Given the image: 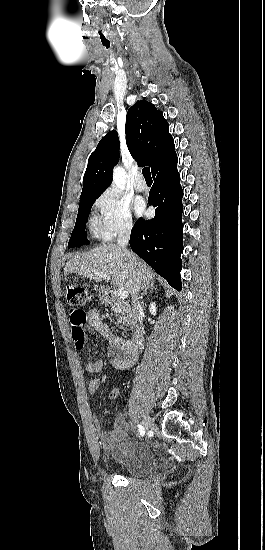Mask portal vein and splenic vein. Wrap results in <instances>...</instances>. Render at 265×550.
Listing matches in <instances>:
<instances>
[{"label":"portal vein and splenic vein","mask_w":265,"mask_h":550,"mask_svg":"<svg viewBox=\"0 0 265 550\" xmlns=\"http://www.w3.org/2000/svg\"><path fill=\"white\" fill-rule=\"evenodd\" d=\"M95 274L98 275L99 277L107 280V281H109L111 279L109 275L104 274V273L95 272ZM117 295L120 297V299H126L128 297V293L125 290H122V289H118Z\"/></svg>","instance_id":"1"}]
</instances>
